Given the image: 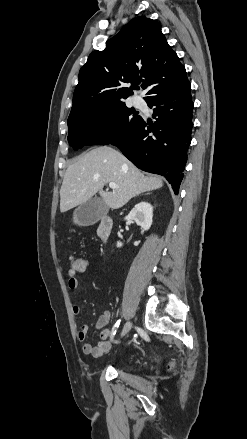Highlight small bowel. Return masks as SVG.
I'll return each instance as SVG.
<instances>
[{"label": "small bowel", "mask_w": 247, "mask_h": 439, "mask_svg": "<svg viewBox=\"0 0 247 439\" xmlns=\"http://www.w3.org/2000/svg\"><path fill=\"white\" fill-rule=\"evenodd\" d=\"M68 274H69L68 287L70 290L76 291L79 286L77 272L69 270ZM83 310H84L83 306L80 305H74L72 307L73 315L76 317H80L83 313ZM110 318H111V313L110 311L106 310L97 319L95 328L101 330L100 332L101 341L96 346H93L90 343L86 342V338L89 332V327L86 324L81 326L77 336L79 341L82 343V351L84 354L91 355L93 357H101L110 350L112 345V337H111L112 331L104 328L109 323Z\"/></svg>", "instance_id": "1"}]
</instances>
